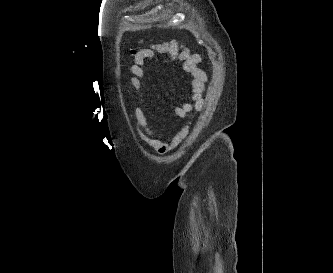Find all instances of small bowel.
Returning a JSON list of instances; mask_svg holds the SVG:
<instances>
[{"label": "small bowel", "mask_w": 333, "mask_h": 273, "mask_svg": "<svg viewBox=\"0 0 333 273\" xmlns=\"http://www.w3.org/2000/svg\"><path fill=\"white\" fill-rule=\"evenodd\" d=\"M162 54H167L171 62H181L183 69L192 77L191 96L193 104L180 105L176 110L177 116L184 117L190 110L200 109L203 104V91L207 82V75L198 66L201 61L200 56L198 54H192L186 46L176 40L163 43H151L131 50L133 62L130 67V72L133 76L129 79L127 92H135L137 95H141L146 77V60ZM134 114L136 133L144 142L154 148L158 154H165L171 150L179 140V138L176 137L170 141H163L161 136L151 128L141 102H137L135 105Z\"/></svg>", "instance_id": "c3829d8e"}]
</instances>
